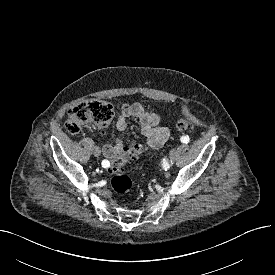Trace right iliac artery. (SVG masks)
I'll use <instances>...</instances> for the list:
<instances>
[{
  "instance_id": "1",
  "label": "right iliac artery",
  "mask_w": 275,
  "mask_h": 275,
  "mask_svg": "<svg viewBox=\"0 0 275 275\" xmlns=\"http://www.w3.org/2000/svg\"><path fill=\"white\" fill-rule=\"evenodd\" d=\"M110 165V162L108 160H103L102 161V166L103 167H108Z\"/></svg>"
}]
</instances>
